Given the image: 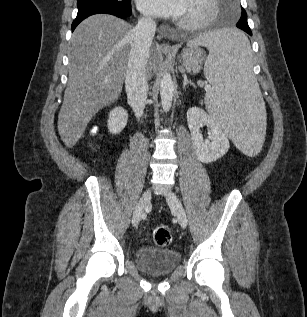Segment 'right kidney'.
Masks as SVG:
<instances>
[{
  "mask_svg": "<svg viewBox=\"0 0 307 317\" xmlns=\"http://www.w3.org/2000/svg\"><path fill=\"white\" fill-rule=\"evenodd\" d=\"M127 121H128V112L124 108L120 106L113 108L109 112V118H108V129L110 133L112 134L120 133L127 125Z\"/></svg>",
  "mask_w": 307,
  "mask_h": 317,
  "instance_id": "1",
  "label": "right kidney"
}]
</instances>
